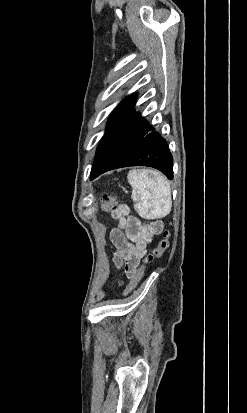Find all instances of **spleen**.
Masks as SVG:
<instances>
[{
  "label": "spleen",
  "mask_w": 247,
  "mask_h": 413,
  "mask_svg": "<svg viewBox=\"0 0 247 413\" xmlns=\"http://www.w3.org/2000/svg\"><path fill=\"white\" fill-rule=\"evenodd\" d=\"M132 186L131 198L136 202L137 211L148 204L151 219H162L169 215L172 209L171 186L169 180L158 170L148 168H133L127 174Z\"/></svg>",
  "instance_id": "3e777b00"
}]
</instances>
